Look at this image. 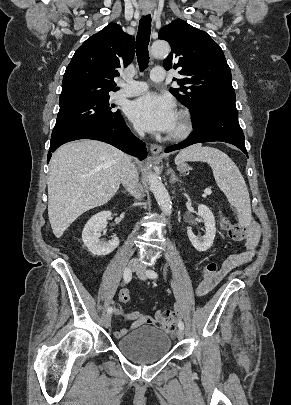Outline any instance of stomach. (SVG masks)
<instances>
[{"label": "stomach", "mask_w": 291, "mask_h": 405, "mask_svg": "<svg viewBox=\"0 0 291 405\" xmlns=\"http://www.w3.org/2000/svg\"><path fill=\"white\" fill-rule=\"evenodd\" d=\"M177 169H178L180 172H186L189 168H188L187 164L181 163V164H178V165H177Z\"/></svg>", "instance_id": "0dacf381"}]
</instances>
